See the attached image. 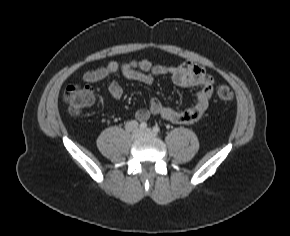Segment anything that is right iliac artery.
Returning a JSON list of instances; mask_svg holds the SVG:
<instances>
[{
    "label": "right iliac artery",
    "mask_w": 290,
    "mask_h": 236,
    "mask_svg": "<svg viewBox=\"0 0 290 236\" xmlns=\"http://www.w3.org/2000/svg\"><path fill=\"white\" fill-rule=\"evenodd\" d=\"M139 127H140V129L144 130V129L147 128V123L146 122H142V123H140Z\"/></svg>",
    "instance_id": "obj_1"
}]
</instances>
